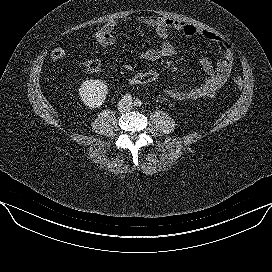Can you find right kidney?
<instances>
[{
  "mask_svg": "<svg viewBox=\"0 0 272 272\" xmlns=\"http://www.w3.org/2000/svg\"><path fill=\"white\" fill-rule=\"evenodd\" d=\"M108 94L107 85L101 80H87L79 88L81 101L90 109L100 107Z\"/></svg>",
  "mask_w": 272,
  "mask_h": 272,
  "instance_id": "1",
  "label": "right kidney"
}]
</instances>
